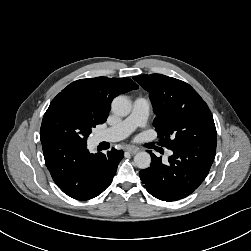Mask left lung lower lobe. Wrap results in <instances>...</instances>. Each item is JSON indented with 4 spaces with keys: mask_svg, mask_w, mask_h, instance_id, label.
<instances>
[{
    "mask_svg": "<svg viewBox=\"0 0 251 251\" xmlns=\"http://www.w3.org/2000/svg\"><path fill=\"white\" fill-rule=\"evenodd\" d=\"M166 164L151 151V166L139 172L147 191L157 199L176 201L187 197L204 181L214 161L216 147L182 146L171 149Z\"/></svg>",
    "mask_w": 251,
    "mask_h": 251,
    "instance_id": "left-lung-lower-lobe-1",
    "label": "left lung lower lobe"
}]
</instances>
